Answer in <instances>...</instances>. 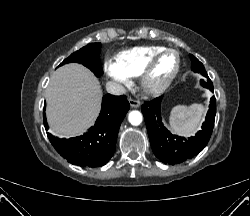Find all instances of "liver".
<instances>
[{
    "label": "liver",
    "instance_id": "liver-1",
    "mask_svg": "<svg viewBox=\"0 0 250 216\" xmlns=\"http://www.w3.org/2000/svg\"><path fill=\"white\" fill-rule=\"evenodd\" d=\"M45 97L51 131L58 136L73 137L82 134L94 122L102 94L93 73L72 63L53 73Z\"/></svg>",
    "mask_w": 250,
    "mask_h": 216
}]
</instances>
